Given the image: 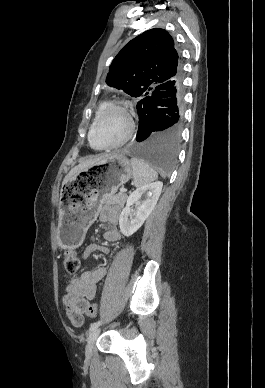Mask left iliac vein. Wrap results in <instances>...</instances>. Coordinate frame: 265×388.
Returning a JSON list of instances; mask_svg holds the SVG:
<instances>
[{
    "label": "left iliac vein",
    "instance_id": "left-iliac-vein-1",
    "mask_svg": "<svg viewBox=\"0 0 265 388\" xmlns=\"http://www.w3.org/2000/svg\"><path fill=\"white\" fill-rule=\"evenodd\" d=\"M100 328H95L93 329L89 335H88V338H87V345H86V357L87 358H90L91 355H92V349H93V345L97 339V337L99 336L100 334Z\"/></svg>",
    "mask_w": 265,
    "mask_h": 388
}]
</instances>
